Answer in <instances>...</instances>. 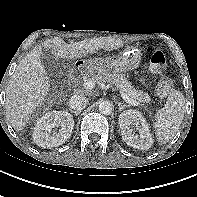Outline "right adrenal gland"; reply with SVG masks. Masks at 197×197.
<instances>
[{"label": "right adrenal gland", "mask_w": 197, "mask_h": 197, "mask_svg": "<svg viewBox=\"0 0 197 197\" xmlns=\"http://www.w3.org/2000/svg\"><path fill=\"white\" fill-rule=\"evenodd\" d=\"M69 111H70L71 113H74L76 116H78V115L80 114V112L77 113V112H75V111H73V110H71V109H70Z\"/></svg>", "instance_id": "1"}]
</instances>
